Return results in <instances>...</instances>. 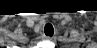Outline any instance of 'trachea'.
<instances>
[{
	"label": "trachea",
	"mask_w": 97,
	"mask_h": 48,
	"mask_svg": "<svg viewBox=\"0 0 97 48\" xmlns=\"http://www.w3.org/2000/svg\"><path fill=\"white\" fill-rule=\"evenodd\" d=\"M45 35L47 36H53L54 34V28L51 24H46L44 28Z\"/></svg>",
	"instance_id": "3493384b"
}]
</instances>
